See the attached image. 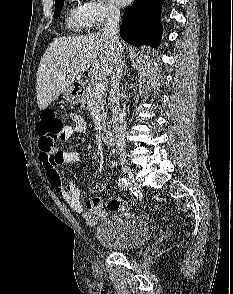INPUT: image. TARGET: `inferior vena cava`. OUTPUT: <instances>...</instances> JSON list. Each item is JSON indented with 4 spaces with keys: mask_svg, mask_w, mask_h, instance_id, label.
<instances>
[{
    "mask_svg": "<svg viewBox=\"0 0 233 294\" xmlns=\"http://www.w3.org/2000/svg\"><path fill=\"white\" fill-rule=\"evenodd\" d=\"M119 20L120 11L116 7H109L106 23L103 29V35L109 39L118 53L115 58L114 67L111 75V90L109 95V106L112 113V127L115 137L116 152L119 157L120 165H125L126 160V121L120 108V79L123 74L124 62L122 59V43L119 39Z\"/></svg>",
    "mask_w": 233,
    "mask_h": 294,
    "instance_id": "obj_1",
    "label": "inferior vena cava"
}]
</instances>
